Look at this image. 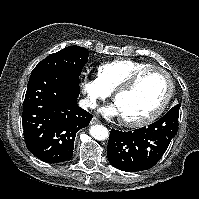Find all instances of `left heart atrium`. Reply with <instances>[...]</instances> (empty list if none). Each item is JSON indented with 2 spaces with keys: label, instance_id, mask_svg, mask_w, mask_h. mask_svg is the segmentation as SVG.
Listing matches in <instances>:
<instances>
[{
  "label": "left heart atrium",
  "instance_id": "obj_1",
  "mask_svg": "<svg viewBox=\"0 0 199 199\" xmlns=\"http://www.w3.org/2000/svg\"><path fill=\"white\" fill-rule=\"evenodd\" d=\"M102 113H103L105 116H108V117L120 116V113H119V110H118L116 104H114V105H109V106L103 108V109H102Z\"/></svg>",
  "mask_w": 199,
  "mask_h": 199
}]
</instances>
